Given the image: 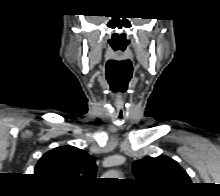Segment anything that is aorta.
<instances>
[{"label":"aorta","instance_id":"obj_1","mask_svg":"<svg viewBox=\"0 0 220 196\" xmlns=\"http://www.w3.org/2000/svg\"><path fill=\"white\" fill-rule=\"evenodd\" d=\"M107 176H110L111 178H115L118 177L119 174L116 171L110 172L109 174H107Z\"/></svg>","mask_w":220,"mask_h":196}]
</instances>
